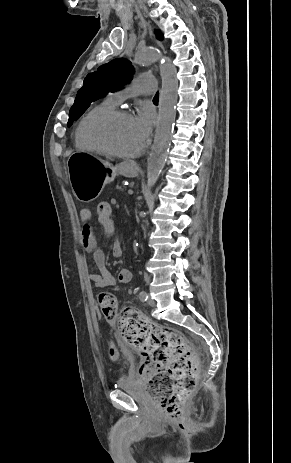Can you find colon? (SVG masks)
I'll return each mask as SVG.
<instances>
[{
  "instance_id": "colon-1",
  "label": "colon",
  "mask_w": 291,
  "mask_h": 463,
  "mask_svg": "<svg viewBox=\"0 0 291 463\" xmlns=\"http://www.w3.org/2000/svg\"><path fill=\"white\" fill-rule=\"evenodd\" d=\"M112 204L100 200L93 206V218L99 226H112ZM98 304L107 319L118 315L116 298L103 292ZM119 329L126 342L143 357L141 375L147 379L150 396L171 418L182 416V407L196 387L197 365L191 345L183 334L145 320L130 310L120 314ZM110 358L118 360V351L111 346Z\"/></svg>"
}]
</instances>
